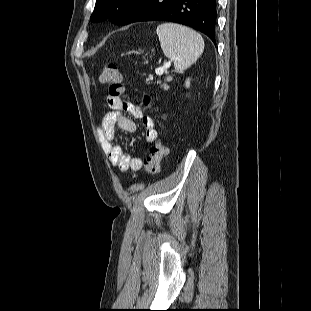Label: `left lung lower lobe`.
Returning a JSON list of instances; mask_svg holds the SVG:
<instances>
[{"label": "left lung lower lobe", "instance_id": "1", "mask_svg": "<svg viewBox=\"0 0 311 311\" xmlns=\"http://www.w3.org/2000/svg\"><path fill=\"white\" fill-rule=\"evenodd\" d=\"M216 0H137L119 25L170 21L192 27L215 42Z\"/></svg>", "mask_w": 311, "mask_h": 311}]
</instances>
